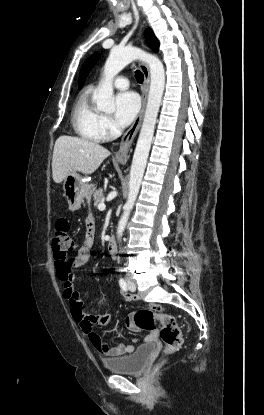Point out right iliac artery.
<instances>
[{"instance_id": "right-iliac-artery-1", "label": "right iliac artery", "mask_w": 264, "mask_h": 415, "mask_svg": "<svg viewBox=\"0 0 264 415\" xmlns=\"http://www.w3.org/2000/svg\"><path fill=\"white\" fill-rule=\"evenodd\" d=\"M119 285L123 291H127V283L123 278L119 280Z\"/></svg>"}]
</instances>
